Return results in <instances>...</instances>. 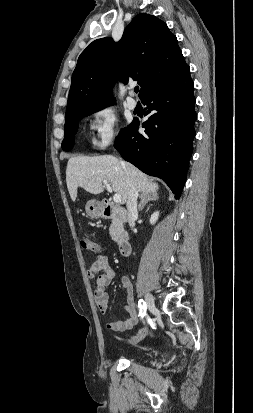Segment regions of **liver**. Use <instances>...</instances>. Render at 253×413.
<instances>
[{
	"label": "liver",
	"mask_w": 253,
	"mask_h": 413,
	"mask_svg": "<svg viewBox=\"0 0 253 413\" xmlns=\"http://www.w3.org/2000/svg\"><path fill=\"white\" fill-rule=\"evenodd\" d=\"M128 180L141 193H157L159 186L134 165L112 155L77 156L68 160L66 183L72 201L76 200L78 187L97 195L103 192V181L109 182L112 190L121 195L126 203L129 193Z\"/></svg>",
	"instance_id": "1"
}]
</instances>
